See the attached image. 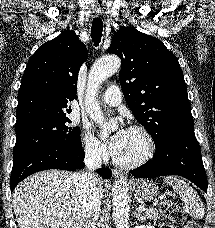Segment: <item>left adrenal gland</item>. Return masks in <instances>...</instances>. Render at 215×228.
Returning a JSON list of instances; mask_svg holds the SVG:
<instances>
[{
  "label": "left adrenal gland",
  "instance_id": "left-adrenal-gland-1",
  "mask_svg": "<svg viewBox=\"0 0 215 228\" xmlns=\"http://www.w3.org/2000/svg\"><path fill=\"white\" fill-rule=\"evenodd\" d=\"M135 218H137V220H139V222H142V220H145L143 214H141V212H139L137 206H135Z\"/></svg>",
  "mask_w": 215,
  "mask_h": 228
}]
</instances>
